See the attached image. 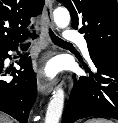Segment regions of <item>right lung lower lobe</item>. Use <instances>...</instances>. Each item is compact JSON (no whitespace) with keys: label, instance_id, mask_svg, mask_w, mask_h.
I'll list each match as a JSON object with an SVG mask.
<instances>
[{"label":"right lung lower lobe","instance_id":"right-lung-lower-lobe-1","mask_svg":"<svg viewBox=\"0 0 118 123\" xmlns=\"http://www.w3.org/2000/svg\"><path fill=\"white\" fill-rule=\"evenodd\" d=\"M17 48L18 45L0 49V111L26 123L37 94V81L31 67V59L28 54L21 55L18 62L20 70L3 69L4 60L9 57L8 51H17ZM7 74L13 76V80L5 81L3 77Z\"/></svg>","mask_w":118,"mask_h":123}]
</instances>
